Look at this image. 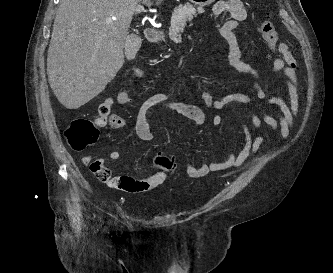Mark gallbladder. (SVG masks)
<instances>
[{
  "label": "gallbladder",
  "mask_w": 333,
  "mask_h": 273,
  "mask_svg": "<svg viewBox=\"0 0 333 273\" xmlns=\"http://www.w3.org/2000/svg\"><path fill=\"white\" fill-rule=\"evenodd\" d=\"M141 39L139 36L132 34L125 42V55L128 60L135 58V55L140 47Z\"/></svg>",
  "instance_id": "bac80fb5"
}]
</instances>
